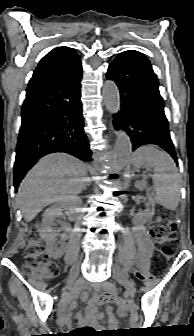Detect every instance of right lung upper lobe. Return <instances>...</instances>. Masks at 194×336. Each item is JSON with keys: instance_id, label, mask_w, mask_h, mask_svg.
I'll return each instance as SVG.
<instances>
[{"instance_id": "cb5924a9", "label": "right lung upper lobe", "mask_w": 194, "mask_h": 336, "mask_svg": "<svg viewBox=\"0 0 194 336\" xmlns=\"http://www.w3.org/2000/svg\"><path fill=\"white\" fill-rule=\"evenodd\" d=\"M81 61L69 47H58L50 51L39 63L29 82L28 88L49 82L74 69Z\"/></svg>"}]
</instances>
